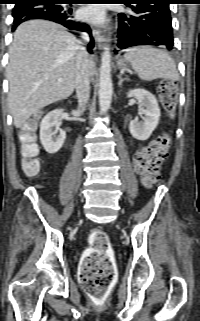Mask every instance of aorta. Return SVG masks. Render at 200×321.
<instances>
[{
    "label": "aorta",
    "mask_w": 200,
    "mask_h": 321,
    "mask_svg": "<svg viewBox=\"0 0 200 321\" xmlns=\"http://www.w3.org/2000/svg\"><path fill=\"white\" fill-rule=\"evenodd\" d=\"M111 80V52L110 46L106 45L101 57L100 80H99V107L100 112L105 114L110 107L112 99Z\"/></svg>",
    "instance_id": "762f6f07"
}]
</instances>
